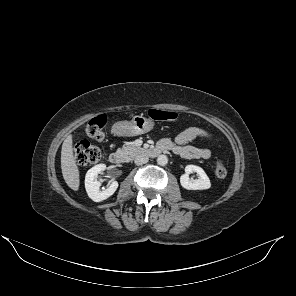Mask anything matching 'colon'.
<instances>
[{"label":"colon","instance_id":"colon-1","mask_svg":"<svg viewBox=\"0 0 296 296\" xmlns=\"http://www.w3.org/2000/svg\"><path fill=\"white\" fill-rule=\"evenodd\" d=\"M149 116L154 120L159 121H173L176 120L178 115L176 112L151 109ZM106 118L103 115L97 116L92 119L86 127V135L92 139L101 141L104 138V127ZM74 158L78 165H92L96 164L101 159L100 148L90 144L87 141H79L74 145ZM215 175L219 178H224L227 175V168L223 161L218 160L215 164Z\"/></svg>","mask_w":296,"mask_h":296}]
</instances>
